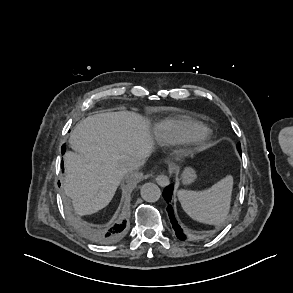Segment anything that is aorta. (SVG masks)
Returning <instances> with one entry per match:
<instances>
[{
	"instance_id": "aorta-1",
	"label": "aorta",
	"mask_w": 293,
	"mask_h": 293,
	"mask_svg": "<svg viewBox=\"0 0 293 293\" xmlns=\"http://www.w3.org/2000/svg\"><path fill=\"white\" fill-rule=\"evenodd\" d=\"M141 197L147 202H156L161 196V190L155 183H145L140 189Z\"/></svg>"
}]
</instances>
